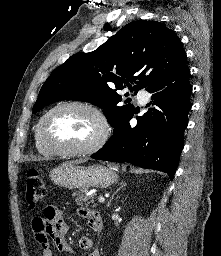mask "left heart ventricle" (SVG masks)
Segmentation results:
<instances>
[{
	"label": "left heart ventricle",
	"mask_w": 221,
	"mask_h": 256,
	"mask_svg": "<svg viewBox=\"0 0 221 256\" xmlns=\"http://www.w3.org/2000/svg\"><path fill=\"white\" fill-rule=\"evenodd\" d=\"M100 123L89 111L63 108L53 113L45 124L46 138L59 146L81 148L90 145L100 134Z\"/></svg>",
	"instance_id": "b2bd125f"
}]
</instances>
